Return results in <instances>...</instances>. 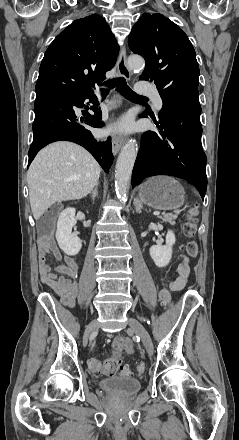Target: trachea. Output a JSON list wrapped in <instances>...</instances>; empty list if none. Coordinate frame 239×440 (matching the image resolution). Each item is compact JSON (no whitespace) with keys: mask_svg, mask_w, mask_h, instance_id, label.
Wrapping results in <instances>:
<instances>
[{"mask_svg":"<svg viewBox=\"0 0 239 440\" xmlns=\"http://www.w3.org/2000/svg\"><path fill=\"white\" fill-rule=\"evenodd\" d=\"M110 88L116 87L117 91L125 98L136 102L147 101L146 97H142V95H138L133 92V90L127 85L125 78H114L110 82H108ZM106 97V92L103 93V97Z\"/></svg>","mask_w":239,"mask_h":440,"instance_id":"1","label":"trachea"}]
</instances>
